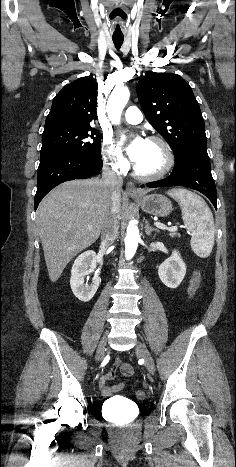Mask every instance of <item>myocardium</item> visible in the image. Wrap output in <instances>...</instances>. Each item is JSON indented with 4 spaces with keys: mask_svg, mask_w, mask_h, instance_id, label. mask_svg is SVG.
<instances>
[{
    "mask_svg": "<svg viewBox=\"0 0 236 467\" xmlns=\"http://www.w3.org/2000/svg\"><path fill=\"white\" fill-rule=\"evenodd\" d=\"M147 141L157 143L163 150L165 161L160 170L154 173H143L141 172L136 165L133 166V175L144 181H154L159 180L165 177L173 169L175 164V157L169 143L159 136H150L147 138Z\"/></svg>",
    "mask_w": 236,
    "mask_h": 467,
    "instance_id": "obj_1",
    "label": "myocardium"
}]
</instances>
